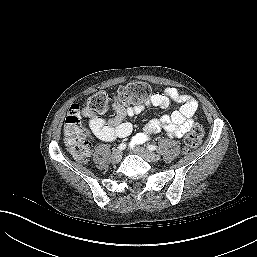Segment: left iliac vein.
I'll return each mask as SVG.
<instances>
[{
	"label": "left iliac vein",
	"mask_w": 257,
	"mask_h": 257,
	"mask_svg": "<svg viewBox=\"0 0 257 257\" xmlns=\"http://www.w3.org/2000/svg\"><path fill=\"white\" fill-rule=\"evenodd\" d=\"M134 151L140 155L142 158H144L145 160L149 161V162H157L160 159V156L150 152L144 148L141 147H136L134 148Z\"/></svg>",
	"instance_id": "left-iliac-vein-1"
}]
</instances>
